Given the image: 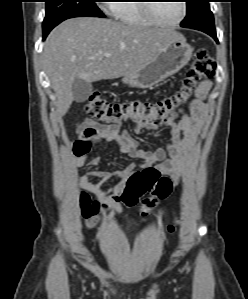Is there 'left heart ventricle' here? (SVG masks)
I'll return each instance as SVG.
<instances>
[{"mask_svg":"<svg viewBox=\"0 0 248 299\" xmlns=\"http://www.w3.org/2000/svg\"><path fill=\"white\" fill-rule=\"evenodd\" d=\"M154 12L163 22H175L179 19L182 13L181 1L173 0L156 3Z\"/></svg>","mask_w":248,"mask_h":299,"instance_id":"left-heart-ventricle-1","label":"left heart ventricle"}]
</instances>
